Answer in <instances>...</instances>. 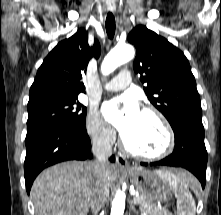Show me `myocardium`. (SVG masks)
<instances>
[{"mask_svg":"<svg viewBox=\"0 0 221 215\" xmlns=\"http://www.w3.org/2000/svg\"><path fill=\"white\" fill-rule=\"evenodd\" d=\"M141 112L150 114L158 120L165 134V145L159 152L141 153L129 148L124 138L121 137V145L123 150L130 156L143 160H159L168 156L173 151L175 145V136L170 122L159 109L153 106H146L142 109Z\"/></svg>","mask_w":221,"mask_h":215,"instance_id":"f54148a6","label":"myocardium"}]
</instances>
